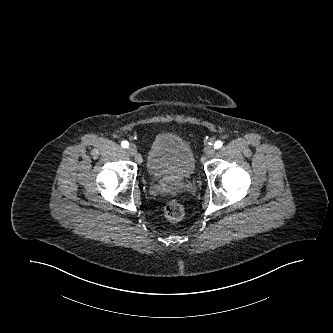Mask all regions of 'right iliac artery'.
Segmentation results:
<instances>
[{
	"label": "right iliac artery",
	"mask_w": 333,
	"mask_h": 333,
	"mask_svg": "<svg viewBox=\"0 0 333 333\" xmlns=\"http://www.w3.org/2000/svg\"><path fill=\"white\" fill-rule=\"evenodd\" d=\"M121 146H122L123 148H128L129 143H128L127 141H122Z\"/></svg>",
	"instance_id": "obj_1"
}]
</instances>
